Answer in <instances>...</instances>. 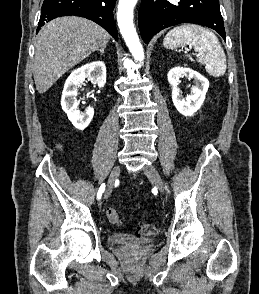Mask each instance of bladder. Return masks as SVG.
<instances>
[{"label":"bladder","instance_id":"31cf9c89","mask_svg":"<svg viewBox=\"0 0 259 294\" xmlns=\"http://www.w3.org/2000/svg\"><path fill=\"white\" fill-rule=\"evenodd\" d=\"M108 241L111 244L119 245V244H127V243H145L147 239L144 237H137L132 234L122 233V232H115L111 233L108 236Z\"/></svg>","mask_w":259,"mask_h":294}]
</instances>
